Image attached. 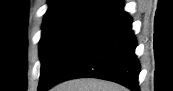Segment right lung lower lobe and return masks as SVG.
I'll use <instances>...</instances> for the list:
<instances>
[{"label":"right lung lower lobe","mask_w":173,"mask_h":91,"mask_svg":"<svg viewBox=\"0 0 173 91\" xmlns=\"http://www.w3.org/2000/svg\"><path fill=\"white\" fill-rule=\"evenodd\" d=\"M123 7L120 1L85 22L38 90L68 79L94 77L138 91L137 40L131 29L132 18Z\"/></svg>","instance_id":"98d812e1"}]
</instances>
